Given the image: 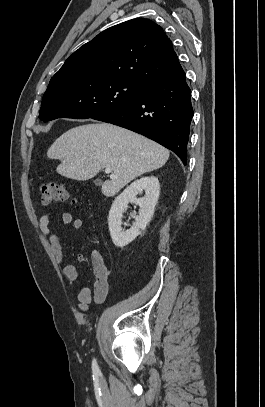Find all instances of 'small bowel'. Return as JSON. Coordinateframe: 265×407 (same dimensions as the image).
<instances>
[{
    "label": "small bowel",
    "instance_id": "c3829d8e",
    "mask_svg": "<svg viewBox=\"0 0 265 407\" xmlns=\"http://www.w3.org/2000/svg\"><path fill=\"white\" fill-rule=\"evenodd\" d=\"M56 212L53 210L44 211L38 218V224L41 233L47 239L51 252L58 264H63V273L70 284H74L78 277L77 268L73 264H64L66 260L65 252L62 248L58 236L51 230L50 221ZM63 224H71L75 230H80L84 226L81 218H74L71 213L64 212L61 214ZM93 279L89 285L84 286L78 293V308L82 311L88 309L89 304L94 300L101 304L107 297L109 291V271L104 263L102 256L95 252L92 255Z\"/></svg>",
    "mask_w": 265,
    "mask_h": 407
}]
</instances>
